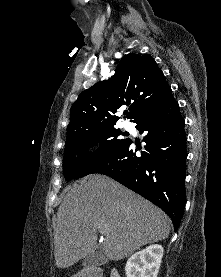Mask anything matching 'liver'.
I'll return each instance as SVG.
<instances>
[{
	"label": "liver",
	"instance_id": "obj_1",
	"mask_svg": "<svg viewBox=\"0 0 221 277\" xmlns=\"http://www.w3.org/2000/svg\"><path fill=\"white\" fill-rule=\"evenodd\" d=\"M170 224L162 210L118 182L100 174L86 176L58 208L56 266L70 267L94 253L101 229L104 255L118 261L144 245L166 239Z\"/></svg>",
	"mask_w": 221,
	"mask_h": 277
}]
</instances>
